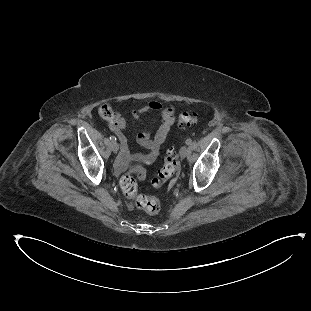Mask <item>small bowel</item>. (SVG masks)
<instances>
[{"instance_id": "small-bowel-1", "label": "small bowel", "mask_w": 311, "mask_h": 311, "mask_svg": "<svg viewBox=\"0 0 311 311\" xmlns=\"http://www.w3.org/2000/svg\"><path fill=\"white\" fill-rule=\"evenodd\" d=\"M152 112H160L161 120L153 138L150 131H144L137 136L139 145L147 149V153H132L129 148L127 138L124 134L125 119L118 118L117 125L112 127V131L116 134L120 142L119 162L125 165L130 161L143 162L146 164L153 163L159 155L160 147L166 140L171 126L175 121V111L172 106H164L158 101H152L147 105L133 109L131 116L134 119H139Z\"/></svg>"}]
</instances>
